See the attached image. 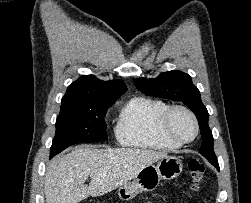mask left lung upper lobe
<instances>
[{
  "instance_id": "obj_1",
  "label": "left lung upper lobe",
  "mask_w": 251,
  "mask_h": 203,
  "mask_svg": "<svg viewBox=\"0 0 251 203\" xmlns=\"http://www.w3.org/2000/svg\"><path fill=\"white\" fill-rule=\"evenodd\" d=\"M135 86L146 95L182 101L196 115L203 139L200 153L215 167L218 161L213 149L212 131L208 126L209 114L201 101L198 88L192 83L191 77L181 71L171 70L161 73L157 78H137Z\"/></svg>"
}]
</instances>
